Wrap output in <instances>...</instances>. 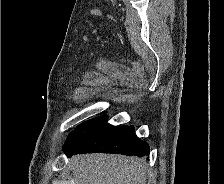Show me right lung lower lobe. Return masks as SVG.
<instances>
[{"label": "right lung lower lobe", "mask_w": 224, "mask_h": 184, "mask_svg": "<svg viewBox=\"0 0 224 184\" xmlns=\"http://www.w3.org/2000/svg\"><path fill=\"white\" fill-rule=\"evenodd\" d=\"M149 150V145L135 135L134 127L112 126L106 121L75 144L63 147L68 157L73 154L95 152L143 157L149 156Z\"/></svg>", "instance_id": "1"}]
</instances>
